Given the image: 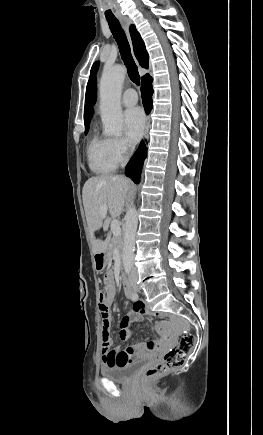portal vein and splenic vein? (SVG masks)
<instances>
[{
	"label": "portal vein and splenic vein",
	"mask_w": 263,
	"mask_h": 435,
	"mask_svg": "<svg viewBox=\"0 0 263 435\" xmlns=\"http://www.w3.org/2000/svg\"><path fill=\"white\" fill-rule=\"evenodd\" d=\"M107 210H108V207H107L106 204L101 206V216H102V218L106 217ZM111 230L113 232V235H119L120 234L121 229H120V224H119L118 220H116V219L112 220V222H111Z\"/></svg>",
	"instance_id": "18ae733b"
}]
</instances>
